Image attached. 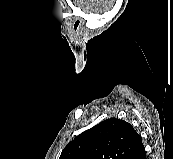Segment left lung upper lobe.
Returning <instances> with one entry per match:
<instances>
[{"label": "left lung upper lobe", "instance_id": "5c2ea615", "mask_svg": "<svg viewBox=\"0 0 173 159\" xmlns=\"http://www.w3.org/2000/svg\"><path fill=\"white\" fill-rule=\"evenodd\" d=\"M142 146L132 125L110 118L69 142L59 159H132Z\"/></svg>", "mask_w": 173, "mask_h": 159}]
</instances>
